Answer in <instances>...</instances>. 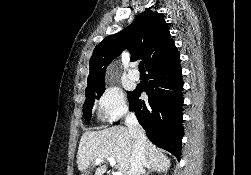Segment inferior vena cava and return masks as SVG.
Wrapping results in <instances>:
<instances>
[{"label": "inferior vena cava", "mask_w": 251, "mask_h": 175, "mask_svg": "<svg viewBox=\"0 0 251 175\" xmlns=\"http://www.w3.org/2000/svg\"><path fill=\"white\" fill-rule=\"evenodd\" d=\"M125 125L128 127L129 133L133 137V147L131 155V167L128 175H140L144 171V165L147 163L145 155L146 135L143 127H141L135 113L128 111L125 117Z\"/></svg>", "instance_id": "602c4592"}]
</instances>
